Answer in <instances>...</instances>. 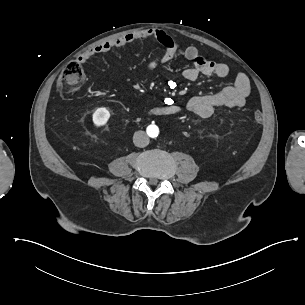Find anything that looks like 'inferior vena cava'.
I'll list each match as a JSON object with an SVG mask.
<instances>
[{"label":"inferior vena cava","instance_id":"obj_1","mask_svg":"<svg viewBox=\"0 0 305 305\" xmlns=\"http://www.w3.org/2000/svg\"><path fill=\"white\" fill-rule=\"evenodd\" d=\"M133 143L137 147H146L149 144V137L144 131H137L134 133Z\"/></svg>","mask_w":305,"mask_h":305}]
</instances>
